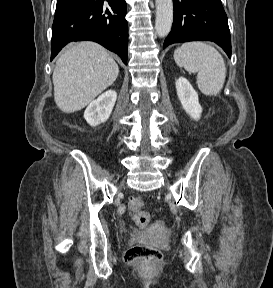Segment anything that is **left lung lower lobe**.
<instances>
[{
    "label": "left lung lower lobe",
    "mask_w": 273,
    "mask_h": 288,
    "mask_svg": "<svg viewBox=\"0 0 273 288\" xmlns=\"http://www.w3.org/2000/svg\"><path fill=\"white\" fill-rule=\"evenodd\" d=\"M171 32L163 49L172 43L213 41L231 57V37L221 0H173Z\"/></svg>",
    "instance_id": "1"
}]
</instances>
